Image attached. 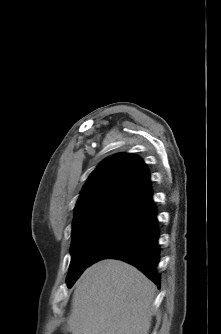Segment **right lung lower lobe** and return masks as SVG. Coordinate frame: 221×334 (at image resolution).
<instances>
[{
    "label": "right lung lower lobe",
    "instance_id": "right-lung-lower-lobe-1",
    "mask_svg": "<svg viewBox=\"0 0 221 334\" xmlns=\"http://www.w3.org/2000/svg\"><path fill=\"white\" fill-rule=\"evenodd\" d=\"M156 214L154 206L134 233L107 258L120 259L137 267L159 288L160 277L156 267L160 258V247L158 245L159 229Z\"/></svg>",
    "mask_w": 221,
    "mask_h": 334
}]
</instances>
